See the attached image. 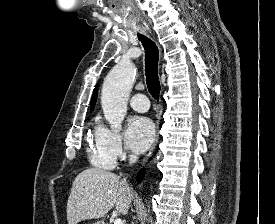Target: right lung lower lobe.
<instances>
[{
    "label": "right lung lower lobe",
    "instance_id": "1",
    "mask_svg": "<svg viewBox=\"0 0 275 224\" xmlns=\"http://www.w3.org/2000/svg\"><path fill=\"white\" fill-rule=\"evenodd\" d=\"M144 172V170L142 169V170H140L139 171V173H138V176H137V180L140 182L141 181V179H142V177H143V173Z\"/></svg>",
    "mask_w": 275,
    "mask_h": 224
}]
</instances>
